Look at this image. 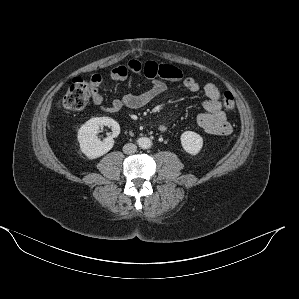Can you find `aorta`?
I'll list each match as a JSON object with an SVG mask.
<instances>
[{"instance_id": "aorta-1", "label": "aorta", "mask_w": 299, "mask_h": 299, "mask_svg": "<svg viewBox=\"0 0 299 299\" xmlns=\"http://www.w3.org/2000/svg\"><path fill=\"white\" fill-rule=\"evenodd\" d=\"M139 145L143 149H148L152 146V141L147 137H142L139 139Z\"/></svg>"}]
</instances>
